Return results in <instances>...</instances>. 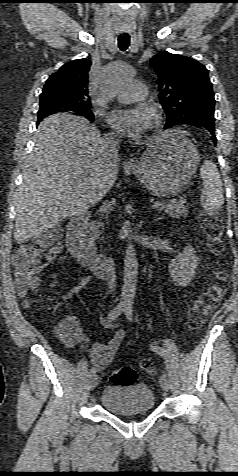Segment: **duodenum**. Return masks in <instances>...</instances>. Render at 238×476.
<instances>
[{
    "label": "duodenum",
    "instance_id": "duodenum-1",
    "mask_svg": "<svg viewBox=\"0 0 238 476\" xmlns=\"http://www.w3.org/2000/svg\"><path fill=\"white\" fill-rule=\"evenodd\" d=\"M89 216L86 213L75 216L68 224L66 243L76 260L98 277L109 273V259L106 255L95 252L85 241V231Z\"/></svg>",
    "mask_w": 238,
    "mask_h": 476
}]
</instances>
